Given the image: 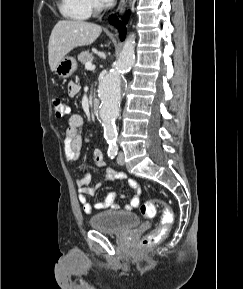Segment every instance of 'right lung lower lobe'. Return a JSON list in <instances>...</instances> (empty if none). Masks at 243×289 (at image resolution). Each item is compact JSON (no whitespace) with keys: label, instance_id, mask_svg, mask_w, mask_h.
I'll return each mask as SVG.
<instances>
[{"label":"right lung lower lobe","instance_id":"obj_1","mask_svg":"<svg viewBox=\"0 0 243 289\" xmlns=\"http://www.w3.org/2000/svg\"><path fill=\"white\" fill-rule=\"evenodd\" d=\"M128 20V15L124 17V22L127 23ZM109 21L111 24H116L119 26L120 28V39L124 40L125 38V34H126V28L124 26V24L120 21H118L117 17H115L114 15L109 17Z\"/></svg>","mask_w":243,"mask_h":289}]
</instances>
